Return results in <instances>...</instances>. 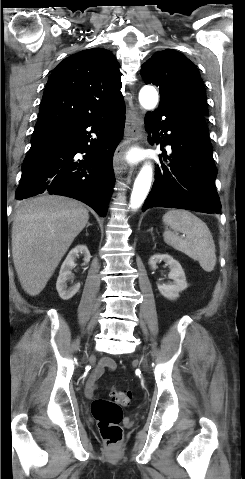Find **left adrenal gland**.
I'll return each mask as SVG.
<instances>
[{"mask_svg":"<svg viewBox=\"0 0 245 479\" xmlns=\"http://www.w3.org/2000/svg\"><path fill=\"white\" fill-rule=\"evenodd\" d=\"M149 232L153 235V228H151V229L149 230Z\"/></svg>","mask_w":245,"mask_h":479,"instance_id":"obj_1","label":"left adrenal gland"}]
</instances>
